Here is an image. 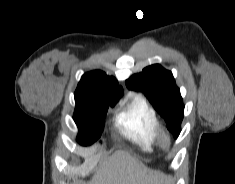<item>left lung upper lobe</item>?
Returning <instances> with one entry per match:
<instances>
[{"instance_id":"5c2ea615","label":"left lung upper lobe","mask_w":235,"mask_h":184,"mask_svg":"<svg viewBox=\"0 0 235 184\" xmlns=\"http://www.w3.org/2000/svg\"><path fill=\"white\" fill-rule=\"evenodd\" d=\"M126 86L130 90L141 91L145 94L153 107L165 119L168 129L177 138L184 116V105L171 71L159 64H153L144 68L142 72L132 75L126 80Z\"/></svg>"}]
</instances>
